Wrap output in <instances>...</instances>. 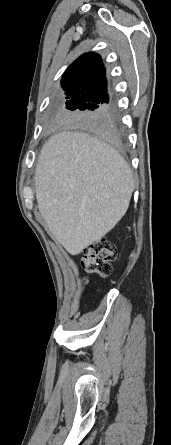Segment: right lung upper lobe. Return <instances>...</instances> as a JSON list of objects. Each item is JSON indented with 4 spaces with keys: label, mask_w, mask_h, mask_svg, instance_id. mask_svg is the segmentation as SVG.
<instances>
[{
    "label": "right lung upper lobe",
    "mask_w": 171,
    "mask_h": 445,
    "mask_svg": "<svg viewBox=\"0 0 171 445\" xmlns=\"http://www.w3.org/2000/svg\"><path fill=\"white\" fill-rule=\"evenodd\" d=\"M101 56L88 53L80 56L65 71L61 84L65 92L99 96L111 102Z\"/></svg>",
    "instance_id": "cb5924a9"
}]
</instances>
